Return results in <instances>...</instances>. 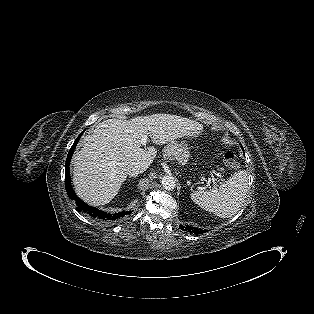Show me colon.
<instances>
[{
  "instance_id": "5ec220e1",
  "label": "colon",
  "mask_w": 314,
  "mask_h": 314,
  "mask_svg": "<svg viewBox=\"0 0 314 314\" xmlns=\"http://www.w3.org/2000/svg\"><path fill=\"white\" fill-rule=\"evenodd\" d=\"M224 160L225 163L230 167L235 168L238 166L237 156L234 151H227L224 155Z\"/></svg>"
}]
</instances>
